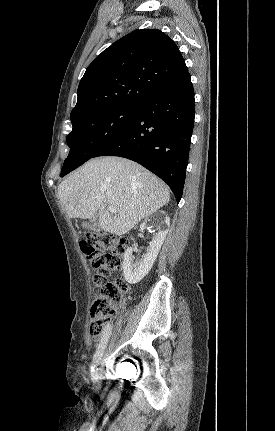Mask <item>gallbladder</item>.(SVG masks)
<instances>
[{"label":"gallbladder","mask_w":275,"mask_h":431,"mask_svg":"<svg viewBox=\"0 0 275 431\" xmlns=\"http://www.w3.org/2000/svg\"><path fill=\"white\" fill-rule=\"evenodd\" d=\"M96 220H97V216H93V217H91L90 222L94 223V222H96Z\"/></svg>","instance_id":"bac80fb5"}]
</instances>
